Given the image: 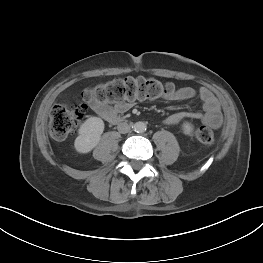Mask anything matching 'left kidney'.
Instances as JSON below:
<instances>
[{
    "label": "left kidney",
    "mask_w": 263,
    "mask_h": 263,
    "mask_svg": "<svg viewBox=\"0 0 263 263\" xmlns=\"http://www.w3.org/2000/svg\"><path fill=\"white\" fill-rule=\"evenodd\" d=\"M182 129H183L184 133L187 135H190L193 132V126L188 122L183 123Z\"/></svg>",
    "instance_id": "left-kidney-1"
}]
</instances>
